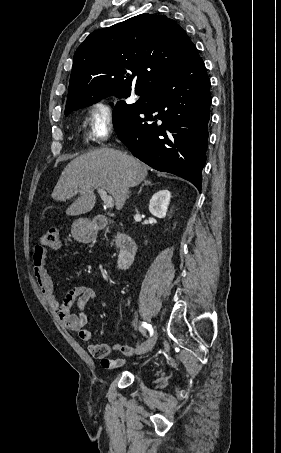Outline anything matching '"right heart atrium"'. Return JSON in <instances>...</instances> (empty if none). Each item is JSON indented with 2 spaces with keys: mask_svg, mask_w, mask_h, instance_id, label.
<instances>
[{
  "mask_svg": "<svg viewBox=\"0 0 281 453\" xmlns=\"http://www.w3.org/2000/svg\"><path fill=\"white\" fill-rule=\"evenodd\" d=\"M116 126V119L112 110L102 102H95L87 109V132L91 140L102 142L106 140L113 132ZM105 154L101 151L95 152L91 158L101 160ZM110 169L118 171L120 169L119 161L113 157Z\"/></svg>",
  "mask_w": 281,
  "mask_h": 453,
  "instance_id": "1",
  "label": "right heart atrium"
}]
</instances>
